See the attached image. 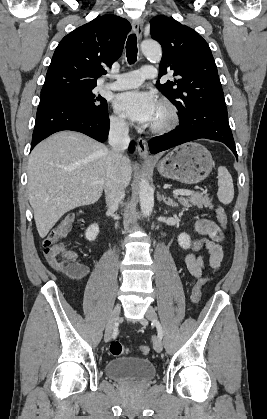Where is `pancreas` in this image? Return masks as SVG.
<instances>
[{
    "instance_id": "pancreas-1",
    "label": "pancreas",
    "mask_w": 267,
    "mask_h": 419,
    "mask_svg": "<svg viewBox=\"0 0 267 419\" xmlns=\"http://www.w3.org/2000/svg\"><path fill=\"white\" fill-rule=\"evenodd\" d=\"M178 201L187 208L191 206L203 208V206L208 207L211 205L209 198L200 193H193L188 198H178Z\"/></svg>"
}]
</instances>
